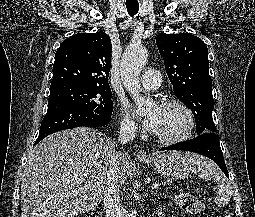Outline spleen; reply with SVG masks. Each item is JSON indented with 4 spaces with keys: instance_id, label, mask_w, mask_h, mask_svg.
Segmentation results:
<instances>
[{
    "instance_id": "3e777b00",
    "label": "spleen",
    "mask_w": 255,
    "mask_h": 217,
    "mask_svg": "<svg viewBox=\"0 0 255 217\" xmlns=\"http://www.w3.org/2000/svg\"><path fill=\"white\" fill-rule=\"evenodd\" d=\"M194 173L213 180L218 187L219 197L217 203L219 206H225L231 198L232 187L229 181L223 176L214 162L196 154H187Z\"/></svg>"
}]
</instances>
